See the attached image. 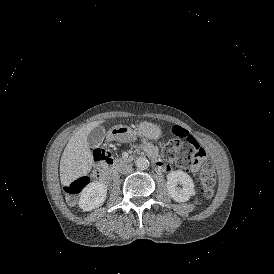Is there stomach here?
<instances>
[{
    "instance_id": "1",
    "label": "stomach",
    "mask_w": 274,
    "mask_h": 274,
    "mask_svg": "<svg viewBox=\"0 0 274 274\" xmlns=\"http://www.w3.org/2000/svg\"><path fill=\"white\" fill-rule=\"evenodd\" d=\"M161 135V130L155 124L150 122H141L136 130H133L126 125H115L107 133V140H117L121 142H129L135 139L136 136L146 137L148 139H158Z\"/></svg>"
}]
</instances>
